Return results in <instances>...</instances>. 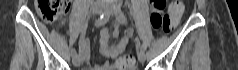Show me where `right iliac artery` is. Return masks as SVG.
<instances>
[{
    "instance_id": "right-iliac-artery-1",
    "label": "right iliac artery",
    "mask_w": 238,
    "mask_h": 70,
    "mask_svg": "<svg viewBox=\"0 0 238 70\" xmlns=\"http://www.w3.org/2000/svg\"><path fill=\"white\" fill-rule=\"evenodd\" d=\"M109 16H110V14H108V13H103V14L100 15V17L96 20L95 25H96L97 27H99V26H102V25L106 24V23L108 22V20H109ZM72 55H73V56L77 55V52H76L75 49L72 50Z\"/></svg>"
}]
</instances>
